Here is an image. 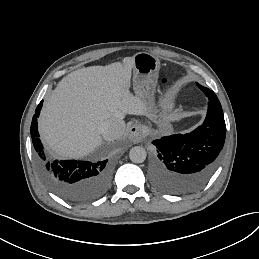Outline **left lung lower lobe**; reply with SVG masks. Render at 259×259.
I'll return each mask as SVG.
<instances>
[{"label":"left lung lower lobe","instance_id":"left-lung-lower-lobe-1","mask_svg":"<svg viewBox=\"0 0 259 259\" xmlns=\"http://www.w3.org/2000/svg\"><path fill=\"white\" fill-rule=\"evenodd\" d=\"M197 86L209 99L204 123L187 134L154 140L157 152L150 173L154 186L166 193L183 194L202 186L216 170L226 125L220 101L212 90Z\"/></svg>","mask_w":259,"mask_h":259}]
</instances>
